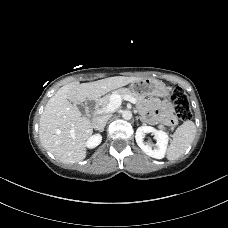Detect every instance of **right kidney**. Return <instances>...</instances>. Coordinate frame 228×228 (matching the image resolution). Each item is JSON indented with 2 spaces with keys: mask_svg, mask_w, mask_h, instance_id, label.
<instances>
[{
  "mask_svg": "<svg viewBox=\"0 0 228 228\" xmlns=\"http://www.w3.org/2000/svg\"><path fill=\"white\" fill-rule=\"evenodd\" d=\"M102 141V136L99 134L91 136L87 141H86V146L90 149L97 147Z\"/></svg>",
  "mask_w": 228,
  "mask_h": 228,
  "instance_id": "ca27d5eb",
  "label": "right kidney"
}]
</instances>
